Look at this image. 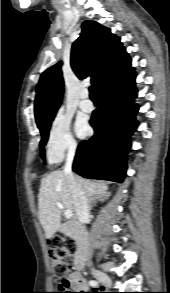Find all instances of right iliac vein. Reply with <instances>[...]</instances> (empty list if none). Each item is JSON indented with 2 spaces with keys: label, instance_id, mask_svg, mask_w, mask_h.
I'll return each mask as SVG.
<instances>
[{
  "label": "right iliac vein",
  "instance_id": "63e3f726",
  "mask_svg": "<svg viewBox=\"0 0 170 293\" xmlns=\"http://www.w3.org/2000/svg\"><path fill=\"white\" fill-rule=\"evenodd\" d=\"M93 275L95 278L103 283L105 286L110 287L111 286V279L109 276L101 271L94 270Z\"/></svg>",
  "mask_w": 170,
  "mask_h": 293
}]
</instances>
